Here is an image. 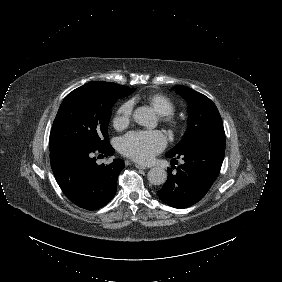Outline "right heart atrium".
Returning <instances> with one entry per match:
<instances>
[{"instance_id":"right-heart-atrium-1","label":"right heart atrium","mask_w":282,"mask_h":282,"mask_svg":"<svg viewBox=\"0 0 282 282\" xmlns=\"http://www.w3.org/2000/svg\"><path fill=\"white\" fill-rule=\"evenodd\" d=\"M131 115V106L125 104L119 108L117 115L115 117L114 123L116 126H123L128 123Z\"/></svg>"}]
</instances>
